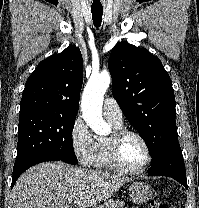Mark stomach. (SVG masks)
Segmentation results:
<instances>
[{
	"label": "stomach",
	"mask_w": 199,
	"mask_h": 208,
	"mask_svg": "<svg viewBox=\"0 0 199 208\" xmlns=\"http://www.w3.org/2000/svg\"><path fill=\"white\" fill-rule=\"evenodd\" d=\"M129 195L133 202L144 203L152 196V191L146 183L133 182L129 186Z\"/></svg>",
	"instance_id": "obj_1"
}]
</instances>
